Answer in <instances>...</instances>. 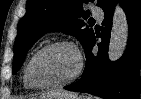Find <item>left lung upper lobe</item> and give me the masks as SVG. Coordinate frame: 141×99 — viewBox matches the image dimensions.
Here are the masks:
<instances>
[{
    "label": "left lung upper lobe",
    "mask_w": 141,
    "mask_h": 99,
    "mask_svg": "<svg viewBox=\"0 0 141 99\" xmlns=\"http://www.w3.org/2000/svg\"><path fill=\"white\" fill-rule=\"evenodd\" d=\"M93 2V0H91ZM89 0H28L26 14L18 24L14 43L13 74L21 68L26 53L45 33L63 31L78 38L84 49L94 37V31L85 25L82 18L89 16L82 5ZM113 0H98L97 6L104 9Z\"/></svg>",
    "instance_id": "left-lung-upper-lobe-1"
}]
</instances>
